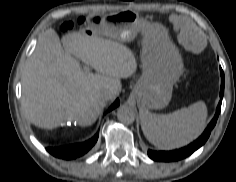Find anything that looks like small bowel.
<instances>
[{
	"label": "small bowel",
	"instance_id": "1",
	"mask_svg": "<svg viewBox=\"0 0 236 182\" xmlns=\"http://www.w3.org/2000/svg\"><path fill=\"white\" fill-rule=\"evenodd\" d=\"M173 23L175 24L176 27H181V25H182L181 20L178 19V18L173 19ZM180 40H181V42H183V43H185V41H186V40H185V37H184L183 35L180 36Z\"/></svg>",
	"mask_w": 236,
	"mask_h": 182
}]
</instances>
